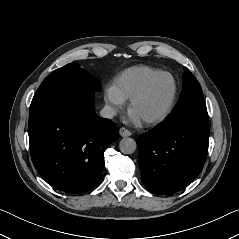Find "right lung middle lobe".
<instances>
[{"mask_svg": "<svg viewBox=\"0 0 239 239\" xmlns=\"http://www.w3.org/2000/svg\"><path fill=\"white\" fill-rule=\"evenodd\" d=\"M73 87H85L92 91H98L101 89V83L80 68L78 64L69 63L56 69L43 80L32 99L30 107L35 106L55 92Z\"/></svg>", "mask_w": 239, "mask_h": 239, "instance_id": "1", "label": "right lung middle lobe"}]
</instances>
